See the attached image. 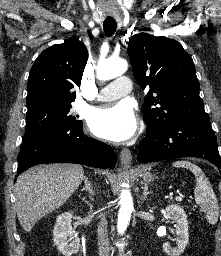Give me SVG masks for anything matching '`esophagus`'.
<instances>
[{
	"label": "esophagus",
	"mask_w": 221,
	"mask_h": 256,
	"mask_svg": "<svg viewBox=\"0 0 221 256\" xmlns=\"http://www.w3.org/2000/svg\"><path fill=\"white\" fill-rule=\"evenodd\" d=\"M120 161L126 166L130 167L132 164V154L129 149H123L120 153Z\"/></svg>",
	"instance_id": "esophagus-1"
}]
</instances>
